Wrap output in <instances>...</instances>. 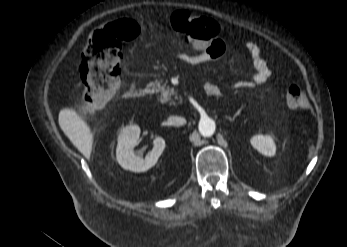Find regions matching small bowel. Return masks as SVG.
Returning a JSON list of instances; mask_svg holds the SVG:
<instances>
[{
  "label": "small bowel",
  "instance_id": "1",
  "mask_svg": "<svg viewBox=\"0 0 347 247\" xmlns=\"http://www.w3.org/2000/svg\"><path fill=\"white\" fill-rule=\"evenodd\" d=\"M245 47L249 53L255 72L251 79L237 81L235 88H252L266 82L271 75L270 68L261 54L260 46L253 41H248ZM226 50V41L224 38L218 37L209 41L203 47H196L194 53H180L178 58L185 64L199 65L220 59L226 53ZM206 88H214L217 91V95L220 93L219 87L213 83H206Z\"/></svg>",
  "mask_w": 347,
  "mask_h": 247
}]
</instances>
